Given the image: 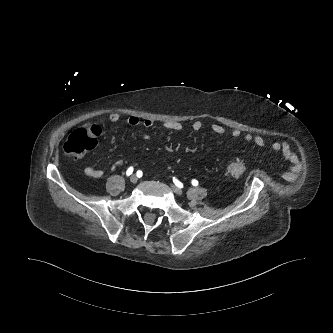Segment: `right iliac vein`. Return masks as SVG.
Here are the masks:
<instances>
[{
	"label": "right iliac vein",
	"instance_id": "1",
	"mask_svg": "<svg viewBox=\"0 0 333 333\" xmlns=\"http://www.w3.org/2000/svg\"><path fill=\"white\" fill-rule=\"evenodd\" d=\"M137 181H138V177L136 175H132L130 177V182L131 183L135 184V183H137Z\"/></svg>",
	"mask_w": 333,
	"mask_h": 333
}]
</instances>
